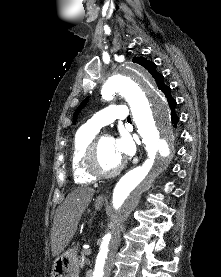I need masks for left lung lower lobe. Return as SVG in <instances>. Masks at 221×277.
<instances>
[{"mask_svg":"<svg viewBox=\"0 0 221 277\" xmlns=\"http://www.w3.org/2000/svg\"><path fill=\"white\" fill-rule=\"evenodd\" d=\"M163 93L165 94L167 101L169 103L170 109H171V115H172V122L175 124V126L177 125L178 122V117L175 114V107H176V101L173 99V97L171 96V88L170 87H166L163 90Z\"/></svg>","mask_w":221,"mask_h":277,"instance_id":"obj_1","label":"left lung lower lobe"}]
</instances>
